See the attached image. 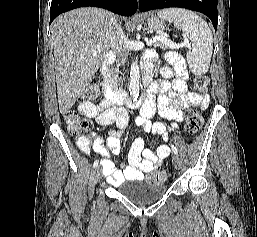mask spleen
I'll return each instance as SVG.
<instances>
[{
  "label": "spleen",
  "instance_id": "3e777b00",
  "mask_svg": "<svg viewBox=\"0 0 257 237\" xmlns=\"http://www.w3.org/2000/svg\"><path fill=\"white\" fill-rule=\"evenodd\" d=\"M158 17L172 22L190 39L191 47L187 51V61L195 75L205 74L210 65L213 51V35L207 23L192 11L172 8L158 11Z\"/></svg>",
  "mask_w": 257,
  "mask_h": 237
}]
</instances>
